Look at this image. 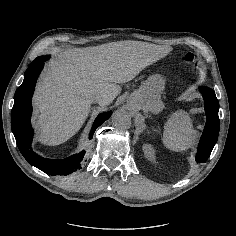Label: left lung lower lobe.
<instances>
[{
  "instance_id": "left-lung-lower-lobe-1",
  "label": "left lung lower lobe",
  "mask_w": 236,
  "mask_h": 236,
  "mask_svg": "<svg viewBox=\"0 0 236 236\" xmlns=\"http://www.w3.org/2000/svg\"><path fill=\"white\" fill-rule=\"evenodd\" d=\"M205 101L206 125L200 139L196 161L204 163L211 154L219 134V102L213 89L205 86L199 87Z\"/></svg>"
}]
</instances>
